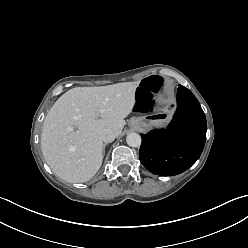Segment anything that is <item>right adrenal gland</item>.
<instances>
[{"mask_svg": "<svg viewBox=\"0 0 248 248\" xmlns=\"http://www.w3.org/2000/svg\"><path fill=\"white\" fill-rule=\"evenodd\" d=\"M106 145H107V144H104V145H103V153H104V149H105V146H106Z\"/></svg>", "mask_w": 248, "mask_h": 248, "instance_id": "2a0ac1e0", "label": "right adrenal gland"}]
</instances>
